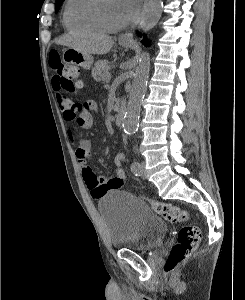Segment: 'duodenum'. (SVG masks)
<instances>
[{
    "label": "duodenum",
    "mask_w": 245,
    "mask_h": 300,
    "mask_svg": "<svg viewBox=\"0 0 245 300\" xmlns=\"http://www.w3.org/2000/svg\"><path fill=\"white\" fill-rule=\"evenodd\" d=\"M124 114H125V110L123 106H119L118 109L116 110V115H115V123L117 126H121L123 124Z\"/></svg>",
    "instance_id": "1"
}]
</instances>
